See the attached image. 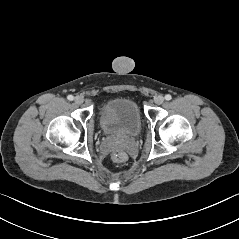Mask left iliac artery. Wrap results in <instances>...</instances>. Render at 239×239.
Returning a JSON list of instances; mask_svg holds the SVG:
<instances>
[{"instance_id": "left-iliac-artery-1", "label": "left iliac artery", "mask_w": 239, "mask_h": 239, "mask_svg": "<svg viewBox=\"0 0 239 239\" xmlns=\"http://www.w3.org/2000/svg\"><path fill=\"white\" fill-rule=\"evenodd\" d=\"M172 96L170 94L165 95V100L169 101L171 100Z\"/></svg>"}]
</instances>
